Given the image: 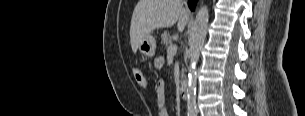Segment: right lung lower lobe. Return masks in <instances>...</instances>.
Listing matches in <instances>:
<instances>
[{"mask_svg": "<svg viewBox=\"0 0 305 116\" xmlns=\"http://www.w3.org/2000/svg\"><path fill=\"white\" fill-rule=\"evenodd\" d=\"M188 2H189V7H190V9H194V6H195V3H196V0H188Z\"/></svg>", "mask_w": 305, "mask_h": 116, "instance_id": "obj_1", "label": "right lung lower lobe"}]
</instances>
